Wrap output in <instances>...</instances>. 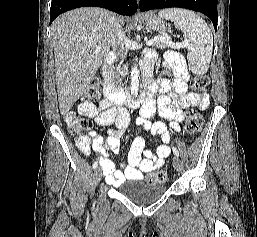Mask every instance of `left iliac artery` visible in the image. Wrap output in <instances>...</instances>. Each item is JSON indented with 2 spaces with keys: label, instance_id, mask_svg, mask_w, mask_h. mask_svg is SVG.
Returning <instances> with one entry per match:
<instances>
[{
  "label": "left iliac artery",
  "instance_id": "1",
  "mask_svg": "<svg viewBox=\"0 0 257 237\" xmlns=\"http://www.w3.org/2000/svg\"><path fill=\"white\" fill-rule=\"evenodd\" d=\"M172 150H173V153L177 156V157H179V152H178V150L173 146L172 147Z\"/></svg>",
  "mask_w": 257,
  "mask_h": 237
}]
</instances>
